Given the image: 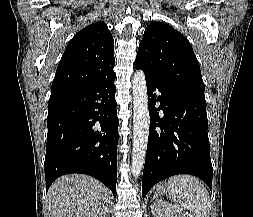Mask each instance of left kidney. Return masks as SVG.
<instances>
[{
  "label": "left kidney",
  "mask_w": 253,
  "mask_h": 217,
  "mask_svg": "<svg viewBox=\"0 0 253 217\" xmlns=\"http://www.w3.org/2000/svg\"><path fill=\"white\" fill-rule=\"evenodd\" d=\"M152 212L156 217H186L181 210H174L162 200L154 203Z\"/></svg>",
  "instance_id": "1"
}]
</instances>
